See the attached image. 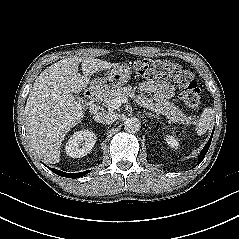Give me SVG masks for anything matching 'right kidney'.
<instances>
[{
    "label": "right kidney",
    "instance_id": "1",
    "mask_svg": "<svg viewBox=\"0 0 239 239\" xmlns=\"http://www.w3.org/2000/svg\"><path fill=\"white\" fill-rule=\"evenodd\" d=\"M96 135L89 130L75 132L66 143V154L72 158H81L90 153L95 145Z\"/></svg>",
    "mask_w": 239,
    "mask_h": 239
}]
</instances>
